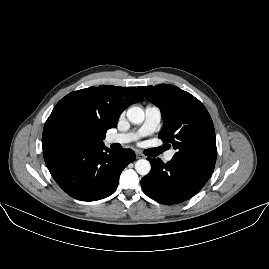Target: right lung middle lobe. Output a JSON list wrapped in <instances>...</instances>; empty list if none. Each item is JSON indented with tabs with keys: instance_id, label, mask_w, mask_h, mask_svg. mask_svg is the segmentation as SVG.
Here are the masks:
<instances>
[{
	"instance_id": "dd1d6c3e",
	"label": "right lung middle lobe",
	"mask_w": 269,
	"mask_h": 269,
	"mask_svg": "<svg viewBox=\"0 0 269 269\" xmlns=\"http://www.w3.org/2000/svg\"><path fill=\"white\" fill-rule=\"evenodd\" d=\"M101 140H103V139H101ZM76 142L82 143V144H102V142H100L98 139L88 137V136H82V137L78 138L76 140Z\"/></svg>"
}]
</instances>
